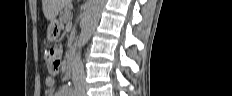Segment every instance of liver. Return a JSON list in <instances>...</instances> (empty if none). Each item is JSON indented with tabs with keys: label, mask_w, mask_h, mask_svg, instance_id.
<instances>
[{
	"label": "liver",
	"mask_w": 232,
	"mask_h": 96,
	"mask_svg": "<svg viewBox=\"0 0 232 96\" xmlns=\"http://www.w3.org/2000/svg\"><path fill=\"white\" fill-rule=\"evenodd\" d=\"M69 2V0H42L44 16L47 20L53 21L59 11Z\"/></svg>",
	"instance_id": "6515ba94"
}]
</instances>
